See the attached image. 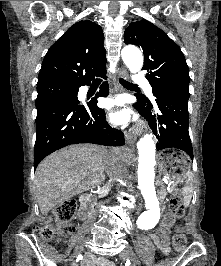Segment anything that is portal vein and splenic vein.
<instances>
[{
	"label": "portal vein and splenic vein",
	"instance_id": "portal-vein-and-splenic-vein-1",
	"mask_svg": "<svg viewBox=\"0 0 221 266\" xmlns=\"http://www.w3.org/2000/svg\"><path fill=\"white\" fill-rule=\"evenodd\" d=\"M164 182H165V184H167L168 185V187H167V190L169 189V187H170V184H168V181L167 180H164Z\"/></svg>",
	"mask_w": 221,
	"mask_h": 266
}]
</instances>
